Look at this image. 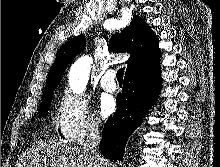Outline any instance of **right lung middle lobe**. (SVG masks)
<instances>
[{"instance_id":"dd1d6c3e","label":"right lung middle lobe","mask_w":220,"mask_h":167,"mask_svg":"<svg viewBox=\"0 0 220 167\" xmlns=\"http://www.w3.org/2000/svg\"><path fill=\"white\" fill-rule=\"evenodd\" d=\"M52 96L46 98L42 103H41V108H40V118L45 117L47 115V112L49 110V106L51 104Z\"/></svg>"}]
</instances>
